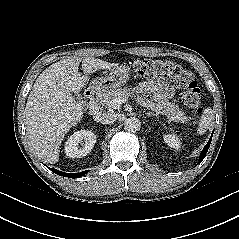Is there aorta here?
<instances>
[{
    "label": "aorta",
    "instance_id": "obj_1",
    "mask_svg": "<svg viewBox=\"0 0 239 239\" xmlns=\"http://www.w3.org/2000/svg\"><path fill=\"white\" fill-rule=\"evenodd\" d=\"M140 127H141V122L136 117H130L124 121V129L128 132H136L140 130Z\"/></svg>",
    "mask_w": 239,
    "mask_h": 239
}]
</instances>
